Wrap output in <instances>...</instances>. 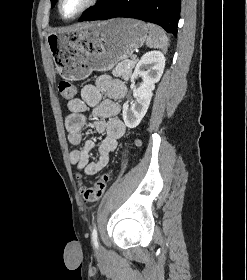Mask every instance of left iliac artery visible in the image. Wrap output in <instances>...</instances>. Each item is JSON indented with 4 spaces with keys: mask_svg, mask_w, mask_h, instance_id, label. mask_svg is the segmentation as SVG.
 I'll use <instances>...</instances> for the list:
<instances>
[{
    "mask_svg": "<svg viewBox=\"0 0 247 280\" xmlns=\"http://www.w3.org/2000/svg\"><path fill=\"white\" fill-rule=\"evenodd\" d=\"M92 242L96 248H98V237H97V229L96 227L93 228L92 234H91Z\"/></svg>",
    "mask_w": 247,
    "mask_h": 280,
    "instance_id": "44dca946",
    "label": "left iliac artery"
}]
</instances>
